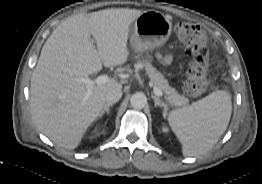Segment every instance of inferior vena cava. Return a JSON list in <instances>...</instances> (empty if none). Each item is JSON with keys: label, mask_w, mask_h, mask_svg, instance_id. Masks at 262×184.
Returning a JSON list of instances; mask_svg holds the SVG:
<instances>
[{"label": "inferior vena cava", "mask_w": 262, "mask_h": 184, "mask_svg": "<svg viewBox=\"0 0 262 184\" xmlns=\"http://www.w3.org/2000/svg\"><path fill=\"white\" fill-rule=\"evenodd\" d=\"M122 97V90L121 89H112L107 92L105 101L107 103L113 104L120 100Z\"/></svg>", "instance_id": "1"}]
</instances>
